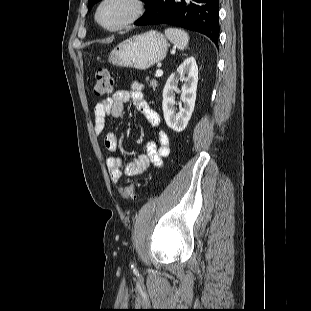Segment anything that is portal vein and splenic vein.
Wrapping results in <instances>:
<instances>
[{
	"label": "portal vein and splenic vein",
	"instance_id": "1",
	"mask_svg": "<svg viewBox=\"0 0 311 311\" xmlns=\"http://www.w3.org/2000/svg\"><path fill=\"white\" fill-rule=\"evenodd\" d=\"M163 75V71L161 70V69H158L157 71H156V76L157 77H161Z\"/></svg>",
	"mask_w": 311,
	"mask_h": 311
}]
</instances>
